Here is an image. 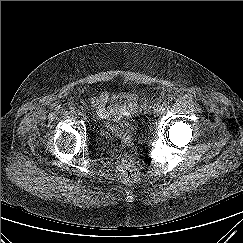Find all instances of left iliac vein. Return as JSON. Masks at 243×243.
<instances>
[{"label": "left iliac vein", "mask_w": 243, "mask_h": 243, "mask_svg": "<svg viewBox=\"0 0 243 243\" xmlns=\"http://www.w3.org/2000/svg\"><path fill=\"white\" fill-rule=\"evenodd\" d=\"M155 113H156V114H161V113H162V108H161V107H157V108L155 109Z\"/></svg>", "instance_id": "left-iliac-vein-1"}]
</instances>
